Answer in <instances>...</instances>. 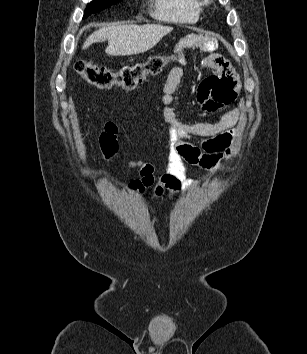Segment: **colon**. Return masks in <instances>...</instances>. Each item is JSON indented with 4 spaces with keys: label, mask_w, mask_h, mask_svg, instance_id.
Masks as SVG:
<instances>
[{
    "label": "colon",
    "mask_w": 307,
    "mask_h": 354,
    "mask_svg": "<svg viewBox=\"0 0 307 354\" xmlns=\"http://www.w3.org/2000/svg\"><path fill=\"white\" fill-rule=\"evenodd\" d=\"M180 56L179 52L171 55H152L143 62L125 65L118 69L107 68L89 60L80 59L75 62L74 69L87 83L98 89L120 86L130 90L146 77L161 73L168 64L178 61ZM110 145L115 146V143L111 141Z\"/></svg>",
    "instance_id": "1"
}]
</instances>
